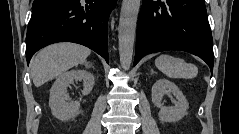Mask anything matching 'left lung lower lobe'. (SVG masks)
I'll list each match as a JSON object with an SVG mask.
<instances>
[{
  "label": "left lung lower lobe",
  "instance_id": "0a47b994",
  "mask_svg": "<svg viewBox=\"0 0 239 134\" xmlns=\"http://www.w3.org/2000/svg\"><path fill=\"white\" fill-rule=\"evenodd\" d=\"M165 50L197 55L212 73L213 41L204 0H143L134 66L145 55Z\"/></svg>",
  "mask_w": 239,
  "mask_h": 134
}]
</instances>
